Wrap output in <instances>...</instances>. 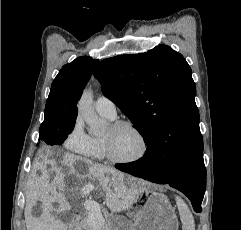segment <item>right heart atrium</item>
<instances>
[{"label":"right heart atrium","instance_id":"1","mask_svg":"<svg viewBox=\"0 0 241 230\" xmlns=\"http://www.w3.org/2000/svg\"><path fill=\"white\" fill-rule=\"evenodd\" d=\"M65 147L68 150L81 155H88L91 152L93 139L86 133L80 122H76L69 132L65 140Z\"/></svg>","mask_w":241,"mask_h":230}]
</instances>
